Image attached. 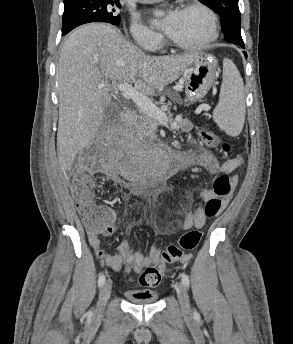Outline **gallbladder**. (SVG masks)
<instances>
[{
    "label": "gallbladder",
    "instance_id": "1",
    "mask_svg": "<svg viewBox=\"0 0 293 344\" xmlns=\"http://www.w3.org/2000/svg\"><path fill=\"white\" fill-rule=\"evenodd\" d=\"M110 109H111V107H110V108H107V110H106V111H107V113L109 112V110H110Z\"/></svg>",
    "mask_w": 293,
    "mask_h": 344
}]
</instances>
